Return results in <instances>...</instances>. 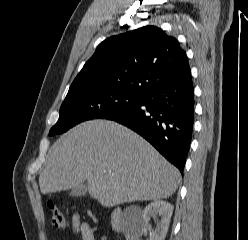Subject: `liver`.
<instances>
[{"mask_svg": "<svg viewBox=\"0 0 248 240\" xmlns=\"http://www.w3.org/2000/svg\"><path fill=\"white\" fill-rule=\"evenodd\" d=\"M85 181L92 198L113 207L170 197L178 187L180 172L130 129L92 120L54 143L39 176L42 194L72 189Z\"/></svg>", "mask_w": 248, "mask_h": 240, "instance_id": "6515ba94", "label": "liver"}]
</instances>
